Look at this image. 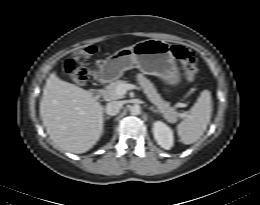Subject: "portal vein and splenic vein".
Listing matches in <instances>:
<instances>
[{"mask_svg":"<svg viewBox=\"0 0 260 205\" xmlns=\"http://www.w3.org/2000/svg\"><path fill=\"white\" fill-rule=\"evenodd\" d=\"M133 89H135V85H133V84H124V85H119L117 87L116 91H117L118 95L122 96V95L126 94V92L128 90H133ZM179 116L180 117H185L184 114H179Z\"/></svg>","mask_w":260,"mask_h":205,"instance_id":"obj_1","label":"portal vein and splenic vein"}]
</instances>
